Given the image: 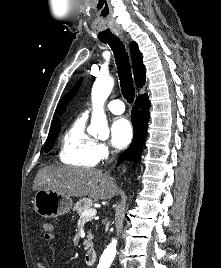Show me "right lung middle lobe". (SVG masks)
Segmentation results:
<instances>
[{"instance_id":"obj_1","label":"right lung middle lobe","mask_w":221,"mask_h":268,"mask_svg":"<svg viewBox=\"0 0 221 268\" xmlns=\"http://www.w3.org/2000/svg\"><path fill=\"white\" fill-rule=\"evenodd\" d=\"M59 130H60V125L56 126V127H52L50 129L48 138H47L45 146H44V151L45 152H48V151H50L52 149V147L54 145V142L56 140V137H57V135L59 133Z\"/></svg>"}]
</instances>
